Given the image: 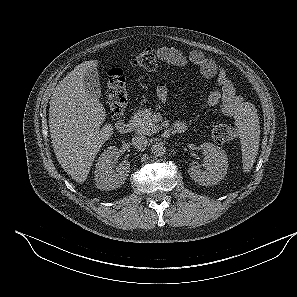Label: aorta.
<instances>
[{"label": "aorta", "instance_id": "obj_1", "mask_svg": "<svg viewBox=\"0 0 297 297\" xmlns=\"http://www.w3.org/2000/svg\"><path fill=\"white\" fill-rule=\"evenodd\" d=\"M151 152L154 156L156 157H161L165 154L166 152V147L164 146L163 143H154L151 147Z\"/></svg>", "mask_w": 297, "mask_h": 297}]
</instances>
